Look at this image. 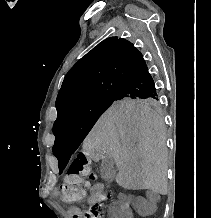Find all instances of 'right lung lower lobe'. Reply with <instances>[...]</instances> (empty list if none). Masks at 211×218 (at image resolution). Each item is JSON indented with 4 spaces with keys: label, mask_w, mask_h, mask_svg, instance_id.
<instances>
[{
    "label": "right lung lower lobe",
    "mask_w": 211,
    "mask_h": 218,
    "mask_svg": "<svg viewBox=\"0 0 211 218\" xmlns=\"http://www.w3.org/2000/svg\"><path fill=\"white\" fill-rule=\"evenodd\" d=\"M120 97H158L153 78L148 72L147 65H142L130 78L122 85L117 93Z\"/></svg>",
    "instance_id": "obj_1"
}]
</instances>
